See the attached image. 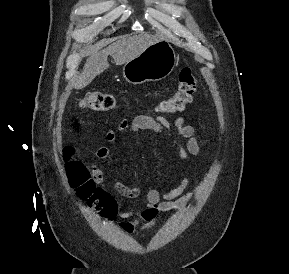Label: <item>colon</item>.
Instances as JSON below:
<instances>
[{"instance_id":"1","label":"colon","mask_w":289,"mask_h":274,"mask_svg":"<svg viewBox=\"0 0 289 274\" xmlns=\"http://www.w3.org/2000/svg\"><path fill=\"white\" fill-rule=\"evenodd\" d=\"M196 78L191 69L184 68L178 76L175 92L167 99L160 102L158 110L162 113H177L190 103L196 89ZM81 106L91 111H109L117 106V99L113 94L105 92H89L81 101ZM73 149H64V158L71 185L77 191L81 199L85 200L90 207L96 211L113 215L115 212V201L113 197L96 186L90 171L79 161L71 160Z\"/></svg>"}]
</instances>
